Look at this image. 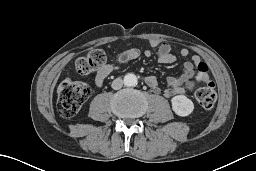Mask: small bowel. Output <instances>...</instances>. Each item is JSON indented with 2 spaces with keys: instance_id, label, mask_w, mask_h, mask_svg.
<instances>
[{
  "instance_id": "small-bowel-1",
  "label": "small bowel",
  "mask_w": 256,
  "mask_h": 171,
  "mask_svg": "<svg viewBox=\"0 0 256 171\" xmlns=\"http://www.w3.org/2000/svg\"><path fill=\"white\" fill-rule=\"evenodd\" d=\"M150 46L152 49L157 50L158 60L161 64L168 65L175 61V56L172 53V47L169 43L162 42L158 39H152L150 41ZM147 54L150 55L151 51H147ZM180 55L182 57H187L189 55V50L187 48H182L180 50ZM138 56L139 50L132 48L120 54L115 62L104 64L96 73L95 85L97 87H102L105 79L109 75L117 71L122 64L135 60ZM200 63L201 59L198 55H194L191 61L185 62L179 76L169 77L167 79L163 92L164 96L169 98L174 95L185 94L193 91L198 84V81L194 79V67L198 66ZM145 82L154 92L159 91V83L154 76L147 77Z\"/></svg>"
}]
</instances>
